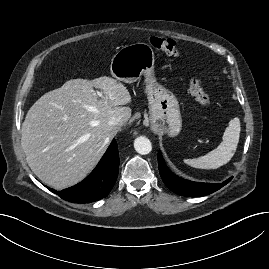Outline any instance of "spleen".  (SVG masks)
Segmentation results:
<instances>
[{"label":"spleen","instance_id":"3e777b00","mask_svg":"<svg viewBox=\"0 0 269 269\" xmlns=\"http://www.w3.org/2000/svg\"><path fill=\"white\" fill-rule=\"evenodd\" d=\"M240 130L239 119H231L223 134L222 142L216 149L198 158L185 159L184 162L199 169H217L223 166L235 154L239 142Z\"/></svg>","mask_w":269,"mask_h":269}]
</instances>
